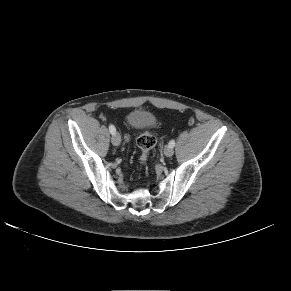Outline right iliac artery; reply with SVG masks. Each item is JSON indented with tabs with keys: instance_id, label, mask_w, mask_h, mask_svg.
Segmentation results:
<instances>
[{
	"instance_id": "82829eb1",
	"label": "right iliac artery",
	"mask_w": 291,
	"mask_h": 291,
	"mask_svg": "<svg viewBox=\"0 0 291 291\" xmlns=\"http://www.w3.org/2000/svg\"><path fill=\"white\" fill-rule=\"evenodd\" d=\"M109 131H110V133L113 135V134H115V132H116V129H115V127H114V125H110L109 126Z\"/></svg>"
}]
</instances>
